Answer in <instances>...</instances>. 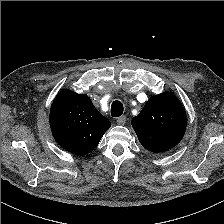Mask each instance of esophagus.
<instances>
[{"mask_svg":"<svg viewBox=\"0 0 224 224\" xmlns=\"http://www.w3.org/2000/svg\"><path fill=\"white\" fill-rule=\"evenodd\" d=\"M126 123V116H120L118 119H117V124L118 125H124Z\"/></svg>","mask_w":224,"mask_h":224,"instance_id":"34e87169","label":"esophagus"}]
</instances>
